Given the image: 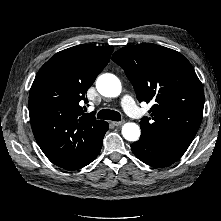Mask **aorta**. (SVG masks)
Here are the masks:
<instances>
[{
  "label": "aorta",
  "mask_w": 221,
  "mask_h": 221,
  "mask_svg": "<svg viewBox=\"0 0 221 221\" xmlns=\"http://www.w3.org/2000/svg\"><path fill=\"white\" fill-rule=\"evenodd\" d=\"M96 88L101 95L109 98L119 96L122 90L118 77L110 73L102 74L97 78ZM140 134V127L136 123L128 122L122 127V135L128 141H137Z\"/></svg>",
  "instance_id": "aorta-1"
}]
</instances>
